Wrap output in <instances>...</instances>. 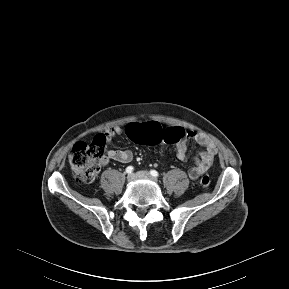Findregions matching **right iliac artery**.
I'll use <instances>...</instances> for the list:
<instances>
[{
  "mask_svg": "<svg viewBox=\"0 0 289 289\" xmlns=\"http://www.w3.org/2000/svg\"><path fill=\"white\" fill-rule=\"evenodd\" d=\"M133 170H134L133 166H128L126 168V173L131 174L133 172Z\"/></svg>",
  "mask_w": 289,
  "mask_h": 289,
  "instance_id": "obj_1",
  "label": "right iliac artery"
}]
</instances>
